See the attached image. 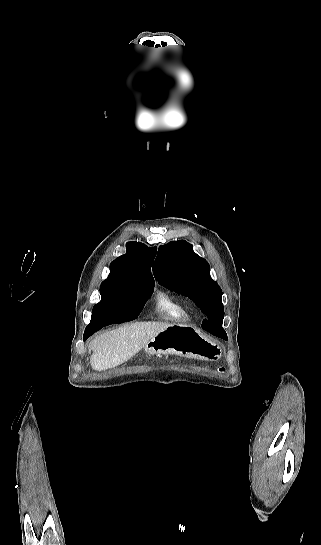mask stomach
<instances>
[{
	"mask_svg": "<svg viewBox=\"0 0 321 545\" xmlns=\"http://www.w3.org/2000/svg\"><path fill=\"white\" fill-rule=\"evenodd\" d=\"M146 355H179L196 359H220L221 347L206 339L191 325H169L157 333L144 347Z\"/></svg>",
	"mask_w": 321,
	"mask_h": 545,
	"instance_id": "obj_1",
	"label": "stomach"
}]
</instances>
